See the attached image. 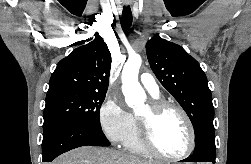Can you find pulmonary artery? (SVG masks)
<instances>
[{
    "instance_id": "obj_1",
    "label": "pulmonary artery",
    "mask_w": 251,
    "mask_h": 164,
    "mask_svg": "<svg viewBox=\"0 0 251 164\" xmlns=\"http://www.w3.org/2000/svg\"><path fill=\"white\" fill-rule=\"evenodd\" d=\"M140 82L152 97L154 98L159 97L160 95L159 87L151 74L149 73L141 74Z\"/></svg>"
}]
</instances>
